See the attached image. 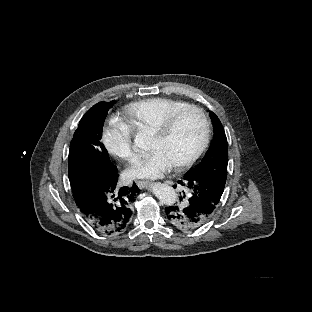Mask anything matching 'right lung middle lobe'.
<instances>
[{
  "instance_id": "right-lung-middle-lobe-1",
  "label": "right lung middle lobe",
  "mask_w": 312,
  "mask_h": 312,
  "mask_svg": "<svg viewBox=\"0 0 312 312\" xmlns=\"http://www.w3.org/2000/svg\"><path fill=\"white\" fill-rule=\"evenodd\" d=\"M111 102H101L89 109L79 122L70 144L68 176L71 189L102 175L117 172L101 142L102 129Z\"/></svg>"
}]
</instances>
